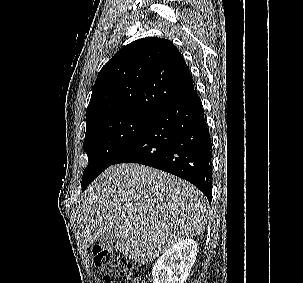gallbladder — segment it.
<instances>
[{"instance_id": "gallbladder-1", "label": "gallbladder", "mask_w": 303, "mask_h": 283, "mask_svg": "<svg viewBox=\"0 0 303 283\" xmlns=\"http://www.w3.org/2000/svg\"><path fill=\"white\" fill-rule=\"evenodd\" d=\"M98 244L106 250H115L116 249V240H115L114 236H112V235L100 237L98 239Z\"/></svg>"}]
</instances>
